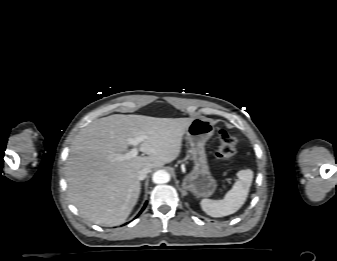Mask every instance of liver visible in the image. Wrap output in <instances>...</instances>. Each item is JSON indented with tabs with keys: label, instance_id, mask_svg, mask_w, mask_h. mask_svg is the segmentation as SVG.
Here are the masks:
<instances>
[{
	"label": "liver",
	"instance_id": "1",
	"mask_svg": "<svg viewBox=\"0 0 337 261\" xmlns=\"http://www.w3.org/2000/svg\"><path fill=\"white\" fill-rule=\"evenodd\" d=\"M193 118L113 114L94 120L72 142L65 167L68 195L80 214L103 226L123 224L136 205L143 168L174 161ZM146 135L138 145L147 156L115 161L128 151L127 138Z\"/></svg>",
	"mask_w": 337,
	"mask_h": 261
}]
</instances>
